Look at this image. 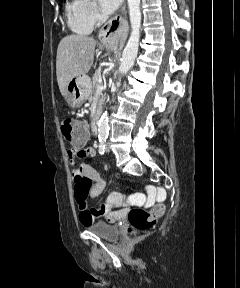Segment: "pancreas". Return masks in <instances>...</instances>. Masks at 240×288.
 I'll return each instance as SVG.
<instances>
[{"instance_id": "cf45deb5", "label": "pancreas", "mask_w": 240, "mask_h": 288, "mask_svg": "<svg viewBox=\"0 0 240 288\" xmlns=\"http://www.w3.org/2000/svg\"><path fill=\"white\" fill-rule=\"evenodd\" d=\"M101 75V72L97 70L92 78V83H93V96L89 97V102L93 101L94 98L98 95V101H97V106L98 108L104 103L105 98H106V93L104 91L98 90V85H99V77Z\"/></svg>"}]
</instances>
